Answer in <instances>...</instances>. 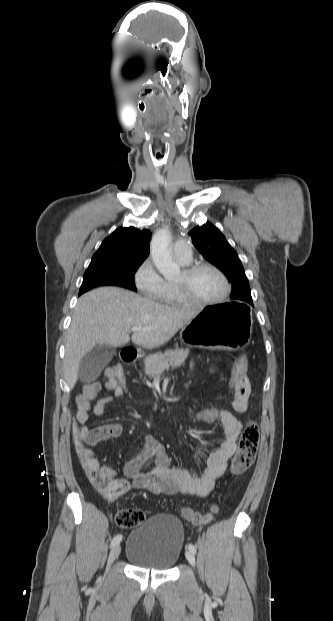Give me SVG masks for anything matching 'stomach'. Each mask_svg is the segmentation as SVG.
Instances as JSON below:
<instances>
[{
  "instance_id": "0dacf381",
  "label": "stomach",
  "mask_w": 333,
  "mask_h": 621,
  "mask_svg": "<svg viewBox=\"0 0 333 621\" xmlns=\"http://www.w3.org/2000/svg\"><path fill=\"white\" fill-rule=\"evenodd\" d=\"M252 311L249 307L226 302L205 307L180 332L183 342L227 350L233 356L243 355L249 344L247 337Z\"/></svg>"
}]
</instances>
